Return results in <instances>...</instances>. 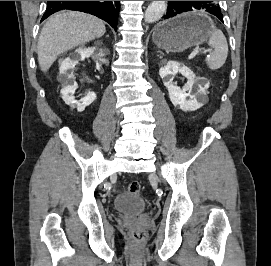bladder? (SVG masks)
Here are the masks:
<instances>
[{
  "instance_id": "31cf9c89",
  "label": "bladder",
  "mask_w": 271,
  "mask_h": 266,
  "mask_svg": "<svg viewBox=\"0 0 271 266\" xmlns=\"http://www.w3.org/2000/svg\"><path fill=\"white\" fill-rule=\"evenodd\" d=\"M146 208L144 200L132 193L120 194L113 203V209L121 214L133 217L142 213Z\"/></svg>"
}]
</instances>
